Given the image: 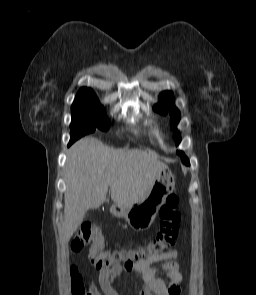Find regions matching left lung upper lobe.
I'll list each match as a JSON object with an SVG mask.
<instances>
[{"mask_svg": "<svg viewBox=\"0 0 256 295\" xmlns=\"http://www.w3.org/2000/svg\"><path fill=\"white\" fill-rule=\"evenodd\" d=\"M173 94L169 91L163 92L160 94V102L154 105L153 109L161 114L166 115L169 111L171 116L170 125L175 133V143L178 145L181 141V136L178 130L176 129V125L180 120V112L174 105ZM178 155L181 157L182 162L187 164L188 158L184 155L182 151L177 152Z\"/></svg>", "mask_w": 256, "mask_h": 295, "instance_id": "1", "label": "left lung upper lobe"}]
</instances>
